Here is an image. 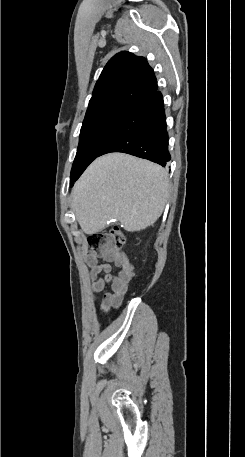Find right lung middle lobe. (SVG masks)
<instances>
[{
    "instance_id": "dd1d6c3e",
    "label": "right lung middle lobe",
    "mask_w": 245,
    "mask_h": 457,
    "mask_svg": "<svg viewBox=\"0 0 245 457\" xmlns=\"http://www.w3.org/2000/svg\"><path fill=\"white\" fill-rule=\"evenodd\" d=\"M129 110L86 113L71 170V187L119 128Z\"/></svg>"
}]
</instances>
